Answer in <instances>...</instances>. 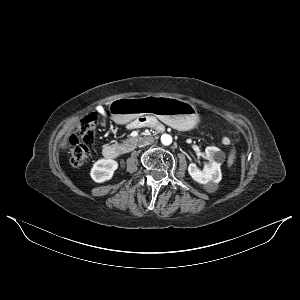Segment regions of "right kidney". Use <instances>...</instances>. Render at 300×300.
I'll use <instances>...</instances> for the list:
<instances>
[{
    "instance_id": "1",
    "label": "right kidney",
    "mask_w": 300,
    "mask_h": 300,
    "mask_svg": "<svg viewBox=\"0 0 300 300\" xmlns=\"http://www.w3.org/2000/svg\"><path fill=\"white\" fill-rule=\"evenodd\" d=\"M117 168V161L112 159H100L94 163L90 175L95 182L102 183L110 180Z\"/></svg>"
}]
</instances>
